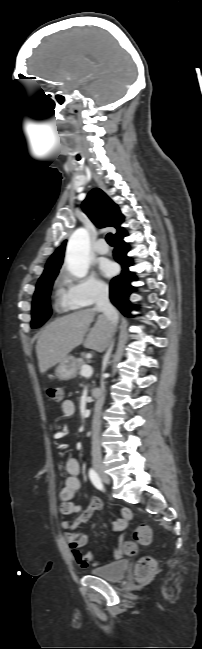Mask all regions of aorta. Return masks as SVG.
<instances>
[{
  "label": "aorta",
  "instance_id": "1",
  "mask_svg": "<svg viewBox=\"0 0 202 649\" xmlns=\"http://www.w3.org/2000/svg\"><path fill=\"white\" fill-rule=\"evenodd\" d=\"M90 237L84 228L77 229L70 237L65 264L69 272L78 278L87 275L90 264Z\"/></svg>",
  "mask_w": 202,
  "mask_h": 649
}]
</instances>
